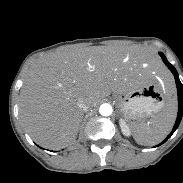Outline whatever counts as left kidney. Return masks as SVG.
<instances>
[{"label": "left kidney", "instance_id": "5707ae66", "mask_svg": "<svg viewBox=\"0 0 183 183\" xmlns=\"http://www.w3.org/2000/svg\"><path fill=\"white\" fill-rule=\"evenodd\" d=\"M119 125H120L121 132L123 133V135L129 137L131 135V132H130L129 126L126 123V121L124 119H120Z\"/></svg>", "mask_w": 183, "mask_h": 183}]
</instances>
